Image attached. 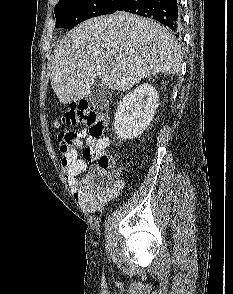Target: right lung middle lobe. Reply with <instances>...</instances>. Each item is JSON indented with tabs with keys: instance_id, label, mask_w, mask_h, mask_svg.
<instances>
[{
	"instance_id": "1",
	"label": "right lung middle lobe",
	"mask_w": 233,
	"mask_h": 294,
	"mask_svg": "<svg viewBox=\"0 0 233 294\" xmlns=\"http://www.w3.org/2000/svg\"><path fill=\"white\" fill-rule=\"evenodd\" d=\"M124 0H60L55 6L56 28L72 29L82 21L114 13Z\"/></svg>"
}]
</instances>
